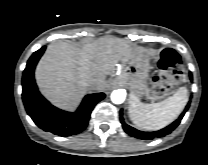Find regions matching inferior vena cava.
I'll return each mask as SVG.
<instances>
[{
    "mask_svg": "<svg viewBox=\"0 0 208 165\" xmlns=\"http://www.w3.org/2000/svg\"><path fill=\"white\" fill-rule=\"evenodd\" d=\"M88 89L89 90H96L97 86L95 84L91 83V84L88 85Z\"/></svg>",
    "mask_w": 208,
    "mask_h": 165,
    "instance_id": "602c4592",
    "label": "inferior vena cava"
}]
</instances>
